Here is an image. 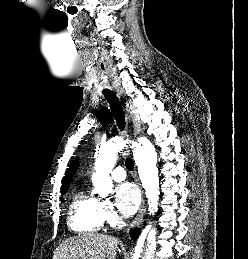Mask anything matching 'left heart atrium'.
<instances>
[{"label":"left heart atrium","instance_id":"left-heart-atrium-1","mask_svg":"<svg viewBox=\"0 0 248 259\" xmlns=\"http://www.w3.org/2000/svg\"><path fill=\"white\" fill-rule=\"evenodd\" d=\"M115 200L121 214L131 216L138 208L140 195L135 185L122 183L115 190Z\"/></svg>","mask_w":248,"mask_h":259}]
</instances>
